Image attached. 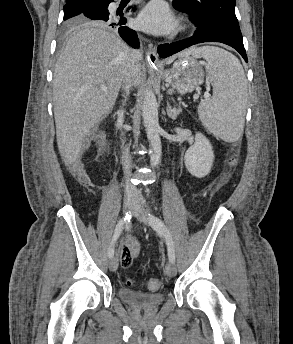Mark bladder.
<instances>
[{
	"label": "bladder",
	"mask_w": 293,
	"mask_h": 344,
	"mask_svg": "<svg viewBox=\"0 0 293 344\" xmlns=\"http://www.w3.org/2000/svg\"><path fill=\"white\" fill-rule=\"evenodd\" d=\"M119 297L123 302L143 310L156 309L165 301L163 293H145L125 287L120 288Z\"/></svg>",
	"instance_id": "obj_1"
}]
</instances>
